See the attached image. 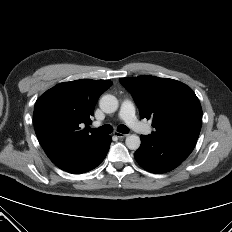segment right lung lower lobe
<instances>
[{
    "instance_id": "98d812e1",
    "label": "right lung lower lobe",
    "mask_w": 232,
    "mask_h": 232,
    "mask_svg": "<svg viewBox=\"0 0 232 232\" xmlns=\"http://www.w3.org/2000/svg\"><path fill=\"white\" fill-rule=\"evenodd\" d=\"M111 143L110 136H104L99 142L87 149L66 153L52 162L60 169L72 174H80L97 167L105 158Z\"/></svg>"
}]
</instances>
